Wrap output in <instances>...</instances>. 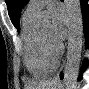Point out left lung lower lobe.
Listing matches in <instances>:
<instances>
[{"mask_svg": "<svg viewBox=\"0 0 89 89\" xmlns=\"http://www.w3.org/2000/svg\"><path fill=\"white\" fill-rule=\"evenodd\" d=\"M81 8H82V15L84 19V31L86 37H88L89 33V8L87 4V0H80ZM61 79H63V76L61 75ZM79 80H81V75L79 76Z\"/></svg>", "mask_w": 89, "mask_h": 89, "instance_id": "0a47b994", "label": "left lung lower lobe"}]
</instances>
